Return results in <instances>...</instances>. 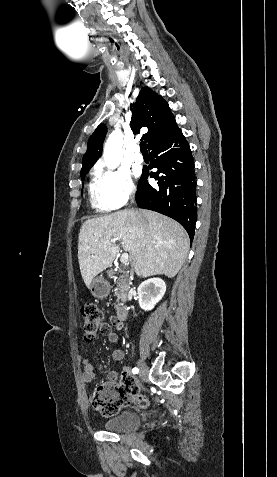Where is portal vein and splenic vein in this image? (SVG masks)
<instances>
[{"label":"portal vein and splenic vein","instance_id":"obj_1","mask_svg":"<svg viewBox=\"0 0 277 477\" xmlns=\"http://www.w3.org/2000/svg\"><path fill=\"white\" fill-rule=\"evenodd\" d=\"M116 241H117L116 238H114V239L111 240L112 243H115ZM128 260H129V255H128V253H123V254L121 255V257H120L121 263H125V264H126V263L128 262Z\"/></svg>","mask_w":277,"mask_h":477}]
</instances>
